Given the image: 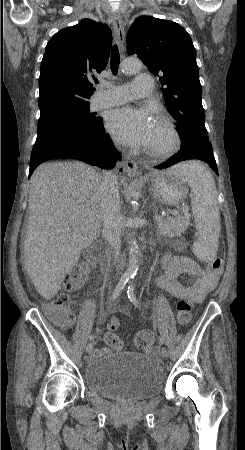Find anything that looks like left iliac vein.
Returning a JSON list of instances; mask_svg holds the SVG:
<instances>
[{
	"label": "left iliac vein",
	"mask_w": 245,
	"mask_h": 450,
	"mask_svg": "<svg viewBox=\"0 0 245 450\" xmlns=\"http://www.w3.org/2000/svg\"><path fill=\"white\" fill-rule=\"evenodd\" d=\"M160 355H161L163 358H166V357L168 356V352H167L166 348H164V347L161 348V350H160Z\"/></svg>",
	"instance_id": "4c4485c4"
}]
</instances>
